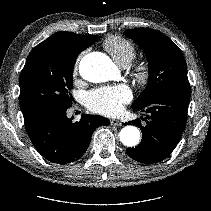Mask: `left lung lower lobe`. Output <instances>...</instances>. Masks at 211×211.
Wrapping results in <instances>:
<instances>
[{"label":"left lung lower lobe","mask_w":211,"mask_h":211,"mask_svg":"<svg viewBox=\"0 0 211 211\" xmlns=\"http://www.w3.org/2000/svg\"><path fill=\"white\" fill-rule=\"evenodd\" d=\"M190 96V88H173L141 107H133L149 115L128 123L138 125L142 132L141 143L126 150L128 156L145 164L157 163L168 157L185 129ZM141 120L146 122L145 126L141 125Z\"/></svg>","instance_id":"1"}]
</instances>
